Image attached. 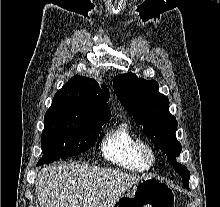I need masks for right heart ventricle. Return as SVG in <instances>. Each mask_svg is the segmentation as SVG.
Here are the masks:
<instances>
[{
    "instance_id": "1",
    "label": "right heart ventricle",
    "mask_w": 220,
    "mask_h": 207,
    "mask_svg": "<svg viewBox=\"0 0 220 207\" xmlns=\"http://www.w3.org/2000/svg\"><path fill=\"white\" fill-rule=\"evenodd\" d=\"M138 141L128 124L121 123L105 135L101 151L107 160L117 165L131 170H144L148 166L139 156Z\"/></svg>"
}]
</instances>
